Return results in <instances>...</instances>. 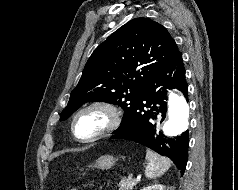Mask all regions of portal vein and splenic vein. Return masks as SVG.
<instances>
[{
  "label": "portal vein and splenic vein",
  "mask_w": 238,
  "mask_h": 190,
  "mask_svg": "<svg viewBox=\"0 0 238 190\" xmlns=\"http://www.w3.org/2000/svg\"><path fill=\"white\" fill-rule=\"evenodd\" d=\"M132 176H133L132 174L129 175V177H132Z\"/></svg>",
  "instance_id": "obj_1"
}]
</instances>
